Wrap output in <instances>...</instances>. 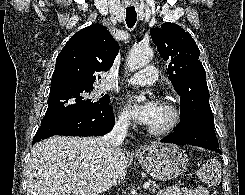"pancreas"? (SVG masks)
Segmentation results:
<instances>
[{
    "mask_svg": "<svg viewBox=\"0 0 245 195\" xmlns=\"http://www.w3.org/2000/svg\"><path fill=\"white\" fill-rule=\"evenodd\" d=\"M159 186H160V184H159V183H157V184H156V183H154V182H153L152 189L159 188Z\"/></svg>",
    "mask_w": 245,
    "mask_h": 195,
    "instance_id": "cf45deb5",
    "label": "pancreas"
}]
</instances>
